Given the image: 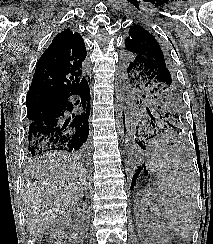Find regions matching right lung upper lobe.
Segmentation results:
<instances>
[{"label":"right lung upper lobe","mask_w":213,"mask_h":244,"mask_svg":"<svg viewBox=\"0 0 213 244\" xmlns=\"http://www.w3.org/2000/svg\"><path fill=\"white\" fill-rule=\"evenodd\" d=\"M86 48L81 35L66 28L54 37L36 64L27 98L40 95L62 97L74 91L81 81Z\"/></svg>","instance_id":"cb5924a9"}]
</instances>
